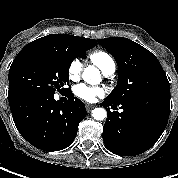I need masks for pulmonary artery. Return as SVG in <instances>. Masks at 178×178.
Wrapping results in <instances>:
<instances>
[{
    "mask_svg": "<svg viewBox=\"0 0 178 178\" xmlns=\"http://www.w3.org/2000/svg\"><path fill=\"white\" fill-rule=\"evenodd\" d=\"M115 72V66L110 67L106 72H104L105 76H111Z\"/></svg>",
    "mask_w": 178,
    "mask_h": 178,
    "instance_id": "e3ab8cb5",
    "label": "pulmonary artery"
}]
</instances>
